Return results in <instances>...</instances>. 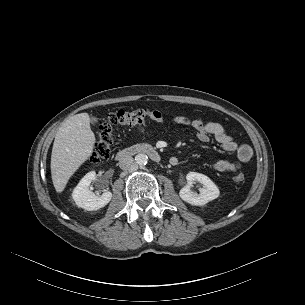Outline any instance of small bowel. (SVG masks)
I'll list each match as a JSON object with an SVG mask.
<instances>
[{
	"label": "small bowel",
	"mask_w": 305,
	"mask_h": 305,
	"mask_svg": "<svg viewBox=\"0 0 305 305\" xmlns=\"http://www.w3.org/2000/svg\"><path fill=\"white\" fill-rule=\"evenodd\" d=\"M162 122L163 119H156ZM172 125L190 126L193 129V135L201 142H208L210 137L219 143L221 148L227 152H233L237 155V161L219 160L212 164V169L222 173H234L241 169L242 164L247 163L252 158L253 152L249 145L238 144L227 132L225 127L218 122H204L201 118L191 120L184 116H175ZM141 136L144 135V129H140ZM170 163L173 166L181 164V159L172 157Z\"/></svg>",
	"instance_id": "c3829d8e"
}]
</instances>
